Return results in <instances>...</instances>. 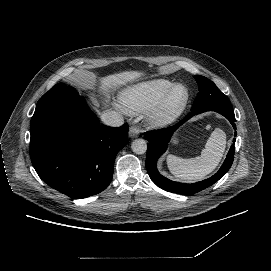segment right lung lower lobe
<instances>
[{"instance_id":"right-lung-lower-lobe-1","label":"right lung lower lobe","mask_w":271,"mask_h":271,"mask_svg":"<svg viewBox=\"0 0 271 271\" xmlns=\"http://www.w3.org/2000/svg\"><path fill=\"white\" fill-rule=\"evenodd\" d=\"M30 158L39 177L74 199L105 190L128 125H101L83 97L64 96L36 106L30 124Z\"/></svg>"}]
</instances>
